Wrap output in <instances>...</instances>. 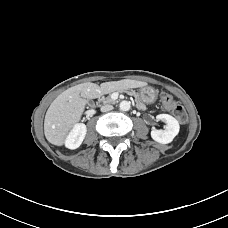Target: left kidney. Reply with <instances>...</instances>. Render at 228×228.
Wrapping results in <instances>:
<instances>
[{"mask_svg":"<svg viewBox=\"0 0 228 228\" xmlns=\"http://www.w3.org/2000/svg\"><path fill=\"white\" fill-rule=\"evenodd\" d=\"M156 119L165 122L166 127L165 129H153L151 131L152 139L161 144L171 143L179 133L180 126L178 121L168 114H159L156 116Z\"/></svg>","mask_w":228,"mask_h":228,"instance_id":"5707ae66","label":"left kidney"}]
</instances>
